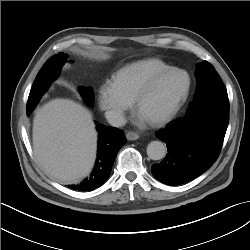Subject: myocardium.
<instances>
[{
  "instance_id": "f54148a6",
  "label": "myocardium",
  "mask_w": 250,
  "mask_h": 250,
  "mask_svg": "<svg viewBox=\"0 0 250 250\" xmlns=\"http://www.w3.org/2000/svg\"><path fill=\"white\" fill-rule=\"evenodd\" d=\"M172 73H183L185 74L186 78H187V83H186V87L182 93V95L176 100V102L171 106V108L165 112L164 114H162L161 116L148 121V123L152 126H161L165 123H167L168 121H170L175 114L179 111V109L182 107V105L185 103V101L187 100L190 90H191V85H192V80H191V76L190 74L182 69V68H177V67H171L168 69H165L159 73H157L156 75H154L153 77H151L147 83L139 90V92L137 93L135 99H134V103H135V107L137 110H139L140 105L142 104V102L152 93V91L155 89L156 85L166 76L172 74Z\"/></svg>"
}]
</instances>
